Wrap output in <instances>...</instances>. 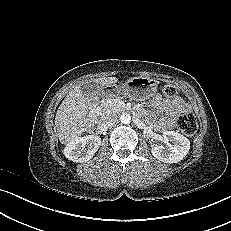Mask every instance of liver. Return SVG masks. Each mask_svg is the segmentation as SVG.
Here are the masks:
<instances>
[{"label": "liver", "mask_w": 231, "mask_h": 231, "mask_svg": "<svg viewBox=\"0 0 231 231\" xmlns=\"http://www.w3.org/2000/svg\"><path fill=\"white\" fill-rule=\"evenodd\" d=\"M132 78H129L130 80ZM102 88L110 87L118 82L116 77H102L93 80ZM86 98L77 86L71 90L60 104L56 117L55 127L62 144L67 145L82 133L91 128L96 117L88 112Z\"/></svg>", "instance_id": "6515ba94"}]
</instances>
